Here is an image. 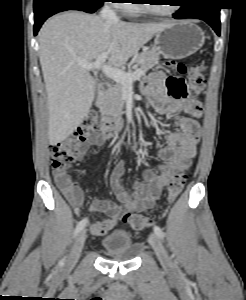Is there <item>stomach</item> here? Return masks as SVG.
I'll list each match as a JSON object with an SVG mask.
<instances>
[{
	"label": "stomach",
	"mask_w": 246,
	"mask_h": 300,
	"mask_svg": "<svg viewBox=\"0 0 246 300\" xmlns=\"http://www.w3.org/2000/svg\"><path fill=\"white\" fill-rule=\"evenodd\" d=\"M205 42L202 29L190 21H176L156 33V51L166 58L183 59L197 52Z\"/></svg>",
	"instance_id": "stomach-1"
}]
</instances>
